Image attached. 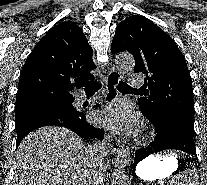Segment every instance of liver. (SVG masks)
<instances>
[{"instance_id":"liver-1","label":"liver","mask_w":207,"mask_h":185,"mask_svg":"<svg viewBox=\"0 0 207 185\" xmlns=\"http://www.w3.org/2000/svg\"><path fill=\"white\" fill-rule=\"evenodd\" d=\"M94 157V147H86L71 129L41 127L15 153L13 185H87Z\"/></svg>"}]
</instances>
